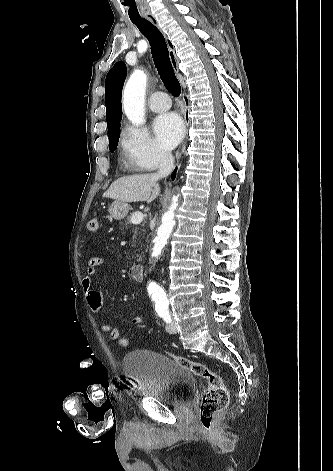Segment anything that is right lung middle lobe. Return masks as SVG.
<instances>
[{"mask_svg":"<svg viewBox=\"0 0 333 471\" xmlns=\"http://www.w3.org/2000/svg\"><path fill=\"white\" fill-rule=\"evenodd\" d=\"M119 136L120 124L117 125L113 130L109 131V148L111 152H113L117 148Z\"/></svg>","mask_w":333,"mask_h":471,"instance_id":"dd1d6c3e","label":"right lung middle lobe"}]
</instances>
